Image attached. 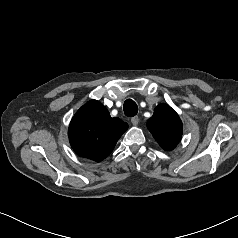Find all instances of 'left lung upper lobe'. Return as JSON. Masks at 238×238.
<instances>
[{
	"label": "left lung upper lobe",
	"instance_id": "1",
	"mask_svg": "<svg viewBox=\"0 0 238 238\" xmlns=\"http://www.w3.org/2000/svg\"><path fill=\"white\" fill-rule=\"evenodd\" d=\"M147 124L150 132L165 151L173 150L181 140L182 122L178 114L167 104L158 105Z\"/></svg>",
	"mask_w": 238,
	"mask_h": 238
}]
</instances>
